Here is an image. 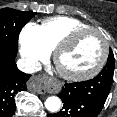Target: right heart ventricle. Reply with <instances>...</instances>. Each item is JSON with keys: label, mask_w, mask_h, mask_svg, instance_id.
Segmentation results:
<instances>
[{"label": "right heart ventricle", "mask_w": 117, "mask_h": 117, "mask_svg": "<svg viewBox=\"0 0 117 117\" xmlns=\"http://www.w3.org/2000/svg\"><path fill=\"white\" fill-rule=\"evenodd\" d=\"M91 27L85 22L69 16H56L45 19L40 25V36L45 46L51 51L71 31Z\"/></svg>", "instance_id": "e07e8e85"}]
</instances>
